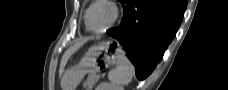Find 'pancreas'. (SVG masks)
<instances>
[{
  "mask_svg": "<svg viewBox=\"0 0 228 90\" xmlns=\"http://www.w3.org/2000/svg\"><path fill=\"white\" fill-rule=\"evenodd\" d=\"M99 76L91 75L87 80L84 82V87L87 90H91L94 84L98 81Z\"/></svg>",
  "mask_w": 228,
  "mask_h": 90,
  "instance_id": "pancreas-1",
  "label": "pancreas"
}]
</instances>
